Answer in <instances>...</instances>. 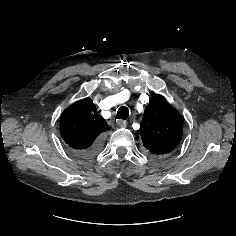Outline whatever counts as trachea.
Returning a JSON list of instances; mask_svg holds the SVG:
<instances>
[{
  "instance_id": "3493384b",
  "label": "trachea",
  "mask_w": 236,
  "mask_h": 236,
  "mask_svg": "<svg viewBox=\"0 0 236 236\" xmlns=\"http://www.w3.org/2000/svg\"><path fill=\"white\" fill-rule=\"evenodd\" d=\"M129 115V110L127 107L122 106L118 109L116 118L126 120Z\"/></svg>"
}]
</instances>
